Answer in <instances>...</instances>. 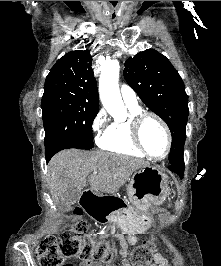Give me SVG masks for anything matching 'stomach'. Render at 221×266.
<instances>
[{
  "instance_id": "stomach-1",
  "label": "stomach",
  "mask_w": 221,
  "mask_h": 266,
  "mask_svg": "<svg viewBox=\"0 0 221 266\" xmlns=\"http://www.w3.org/2000/svg\"><path fill=\"white\" fill-rule=\"evenodd\" d=\"M168 176L159 167L145 166L134 172L127 194L131 207L118 218L133 229H145L150 225L149 209L161 205L168 195Z\"/></svg>"
}]
</instances>
